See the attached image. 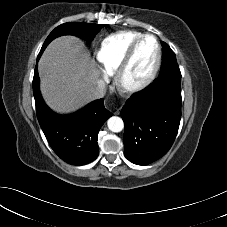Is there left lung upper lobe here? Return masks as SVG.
Instances as JSON below:
<instances>
[{"mask_svg": "<svg viewBox=\"0 0 227 227\" xmlns=\"http://www.w3.org/2000/svg\"><path fill=\"white\" fill-rule=\"evenodd\" d=\"M162 47L163 63L156 81H170L181 84V72L177 64L175 53L165 42H162Z\"/></svg>", "mask_w": 227, "mask_h": 227, "instance_id": "1", "label": "left lung upper lobe"}]
</instances>
